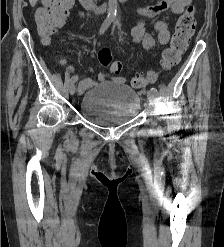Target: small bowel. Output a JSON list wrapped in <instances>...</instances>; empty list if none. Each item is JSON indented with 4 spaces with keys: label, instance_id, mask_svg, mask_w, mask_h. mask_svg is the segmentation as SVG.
Instances as JSON below:
<instances>
[{
    "label": "small bowel",
    "instance_id": "small-bowel-1",
    "mask_svg": "<svg viewBox=\"0 0 224 247\" xmlns=\"http://www.w3.org/2000/svg\"><path fill=\"white\" fill-rule=\"evenodd\" d=\"M191 0H159L158 2L141 6L137 9L141 16L139 22L131 30V38L135 43H139L143 48L149 49L154 46V38L146 33L145 31V19L152 18L158 14L170 10L172 14H181L185 7L190 3ZM79 17H83L82 13L78 14ZM155 31L157 32V39L160 44H167L170 39V32L168 25L163 20H158L154 24ZM120 83H125L126 79L124 77L117 78Z\"/></svg>",
    "mask_w": 224,
    "mask_h": 247
}]
</instances>
